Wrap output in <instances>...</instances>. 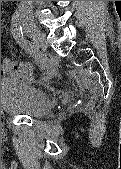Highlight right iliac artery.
I'll return each mask as SVG.
<instances>
[{
    "label": "right iliac artery",
    "instance_id": "obj_1",
    "mask_svg": "<svg viewBox=\"0 0 121 169\" xmlns=\"http://www.w3.org/2000/svg\"><path fill=\"white\" fill-rule=\"evenodd\" d=\"M11 29L16 41L30 52L43 68H46L48 72H50V64L48 63L47 58L35 47L34 43L27 40L26 35H28L29 32L23 28L22 16L19 11L15 12L12 17Z\"/></svg>",
    "mask_w": 121,
    "mask_h": 169
}]
</instances>
